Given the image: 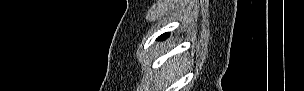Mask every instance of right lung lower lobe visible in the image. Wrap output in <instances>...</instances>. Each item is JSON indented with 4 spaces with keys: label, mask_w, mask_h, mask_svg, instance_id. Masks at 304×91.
Instances as JSON below:
<instances>
[{
    "label": "right lung lower lobe",
    "mask_w": 304,
    "mask_h": 91,
    "mask_svg": "<svg viewBox=\"0 0 304 91\" xmlns=\"http://www.w3.org/2000/svg\"><path fill=\"white\" fill-rule=\"evenodd\" d=\"M169 33H165L163 35H161L158 39H166L168 37Z\"/></svg>",
    "instance_id": "right-lung-lower-lobe-1"
}]
</instances>
